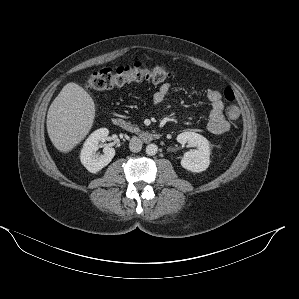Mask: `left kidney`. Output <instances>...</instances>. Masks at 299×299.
<instances>
[{
	"mask_svg": "<svg viewBox=\"0 0 299 299\" xmlns=\"http://www.w3.org/2000/svg\"><path fill=\"white\" fill-rule=\"evenodd\" d=\"M180 144L188 143L196 149L186 152L181 160V166L191 172L200 173L205 171L210 164V145L209 141L202 135L187 131L177 136Z\"/></svg>",
	"mask_w": 299,
	"mask_h": 299,
	"instance_id": "obj_1",
	"label": "left kidney"
}]
</instances>
